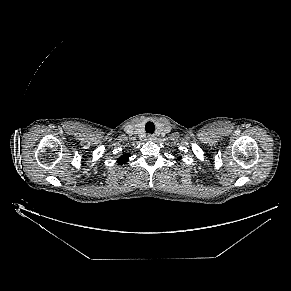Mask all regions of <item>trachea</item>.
Masks as SVG:
<instances>
[{"label":"trachea","instance_id":"obj_1","mask_svg":"<svg viewBox=\"0 0 291 291\" xmlns=\"http://www.w3.org/2000/svg\"><path fill=\"white\" fill-rule=\"evenodd\" d=\"M145 129L147 133L153 134L155 130V126L153 122H147L145 125Z\"/></svg>","mask_w":291,"mask_h":291}]
</instances>
